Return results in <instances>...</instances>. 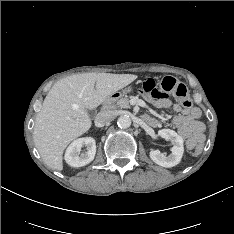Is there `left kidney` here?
<instances>
[{"label": "left kidney", "instance_id": "5707ae66", "mask_svg": "<svg viewBox=\"0 0 234 234\" xmlns=\"http://www.w3.org/2000/svg\"><path fill=\"white\" fill-rule=\"evenodd\" d=\"M158 135L165 140L171 141L173 147L171 148V154L168 156L164 155L159 150H151V160L166 168L176 166L180 163L184 153L183 138L171 129H161L158 131Z\"/></svg>", "mask_w": 234, "mask_h": 234}]
</instances>
